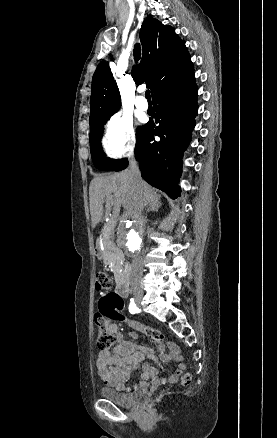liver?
I'll return each mask as SVG.
<instances>
[{
	"label": "liver",
	"instance_id": "liver-1",
	"mask_svg": "<svg viewBox=\"0 0 277 438\" xmlns=\"http://www.w3.org/2000/svg\"><path fill=\"white\" fill-rule=\"evenodd\" d=\"M90 214L92 228H96L101 222L106 204L108 214L110 206L119 210L123 206L125 212L123 218L130 216L132 220L139 218L146 206H153L160 200L159 194L149 184L143 182L138 190H132L129 182L128 172H120L114 176L94 178L90 184Z\"/></svg>",
	"mask_w": 277,
	"mask_h": 438
}]
</instances>
